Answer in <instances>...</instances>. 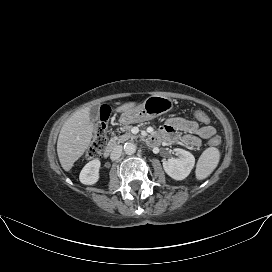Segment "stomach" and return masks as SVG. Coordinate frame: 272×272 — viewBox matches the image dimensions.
Returning a JSON list of instances; mask_svg holds the SVG:
<instances>
[{
	"mask_svg": "<svg viewBox=\"0 0 272 272\" xmlns=\"http://www.w3.org/2000/svg\"><path fill=\"white\" fill-rule=\"evenodd\" d=\"M173 106L174 102L169 97L151 95L142 104L122 113L120 123L128 125L152 120L167 113Z\"/></svg>",
	"mask_w": 272,
	"mask_h": 272,
	"instance_id": "1",
	"label": "stomach"
}]
</instances>
